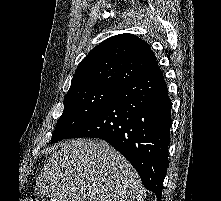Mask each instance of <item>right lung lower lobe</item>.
Returning a JSON list of instances; mask_svg holds the SVG:
<instances>
[{
    "label": "right lung lower lobe",
    "instance_id": "1",
    "mask_svg": "<svg viewBox=\"0 0 221 201\" xmlns=\"http://www.w3.org/2000/svg\"><path fill=\"white\" fill-rule=\"evenodd\" d=\"M171 100L159 67L121 88L68 138L105 140L125 156L161 201L168 168Z\"/></svg>",
    "mask_w": 221,
    "mask_h": 201
}]
</instances>
